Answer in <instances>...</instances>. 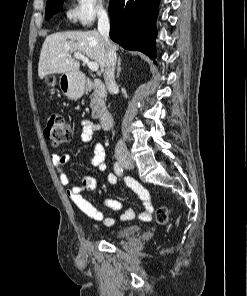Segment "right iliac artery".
Segmentation results:
<instances>
[{
	"label": "right iliac artery",
	"instance_id": "82829eb1",
	"mask_svg": "<svg viewBox=\"0 0 247 296\" xmlns=\"http://www.w3.org/2000/svg\"><path fill=\"white\" fill-rule=\"evenodd\" d=\"M114 171H115V173L118 176H122L123 175V169H122V167L118 163H115L114 164Z\"/></svg>",
	"mask_w": 247,
	"mask_h": 296
}]
</instances>
